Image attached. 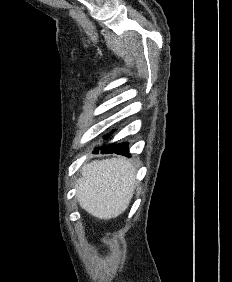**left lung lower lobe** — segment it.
Returning <instances> with one entry per match:
<instances>
[{
    "label": "left lung lower lobe",
    "instance_id": "obj_1",
    "mask_svg": "<svg viewBox=\"0 0 232 282\" xmlns=\"http://www.w3.org/2000/svg\"><path fill=\"white\" fill-rule=\"evenodd\" d=\"M99 150H101L102 154L116 153L118 155H124L126 157L130 156L128 152V145L126 143L119 145L102 146L101 148H96L94 153H98Z\"/></svg>",
    "mask_w": 232,
    "mask_h": 282
}]
</instances>
